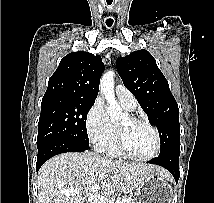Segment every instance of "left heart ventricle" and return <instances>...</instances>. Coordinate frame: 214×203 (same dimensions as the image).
Wrapping results in <instances>:
<instances>
[{"label": "left heart ventricle", "instance_id": "b2bd125f", "mask_svg": "<svg viewBox=\"0 0 214 203\" xmlns=\"http://www.w3.org/2000/svg\"><path fill=\"white\" fill-rule=\"evenodd\" d=\"M125 131L126 145L129 151L139 157L152 154L155 150V135L146 125L132 123L128 116L119 122Z\"/></svg>", "mask_w": 214, "mask_h": 203}]
</instances>
